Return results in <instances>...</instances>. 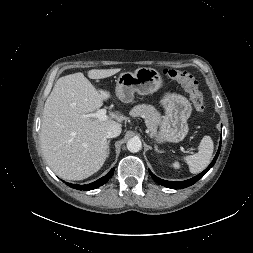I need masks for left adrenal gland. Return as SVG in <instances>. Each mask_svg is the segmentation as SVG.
Masks as SVG:
<instances>
[{"instance_id":"left-adrenal-gland-1","label":"left adrenal gland","mask_w":253,"mask_h":253,"mask_svg":"<svg viewBox=\"0 0 253 253\" xmlns=\"http://www.w3.org/2000/svg\"><path fill=\"white\" fill-rule=\"evenodd\" d=\"M154 148H155V151H157L159 153H163L164 152L163 150H159L157 145H155Z\"/></svg>"}]
</instances>
